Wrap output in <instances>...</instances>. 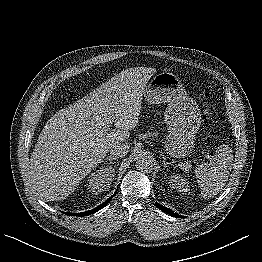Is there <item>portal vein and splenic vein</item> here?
Returning a JSON list of instances; mask_svg holds the SVG:
<instances>
[{
  "label": "portal vein and splenic vein",
  "instance_id": "obj_1",
  "mask_svg": "<svg viewBox=\"0 0 262 262\" xmlns=\"http://www.w3.org/2000/svg\"><path fill=\"white\" fill-rule=\"evenodd\" d=\"M112 123H113V121L110 119V120L108 121V123L106 124L105 129H106V130H109L110 127H111V125H112ZM205 157H206V159H208V160H211V159H212L211 155H209V154H205Z\"/></svg>",
  "mask_w": 262,
  "mask_h": 262
}]
</instances>
